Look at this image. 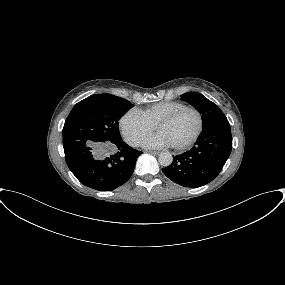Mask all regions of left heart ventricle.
<instances>
[{
	"instance_id": "obj_1",
	"label": "left heart ventricle",
	"mask_w": 285,
	"mask_h": 285,
	"mask_svg": "<svg viewBox=\"0 0 285 285\" xmlns=\"http://www.w3.org/2000/svg\"><path fill=\"white\" fill-rule=\"evenodd\" d=\"M197 127V115L191 110H186L180 113L172 122L160 126L158 132L168 139L171 146H179L195 133Z\"/></svg>"
}]
</instances>
